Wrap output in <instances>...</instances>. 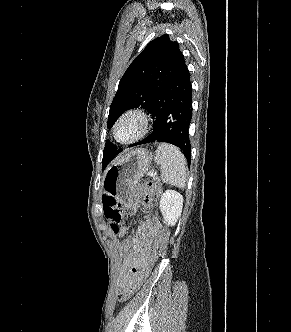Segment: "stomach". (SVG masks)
I'll list each match as a JSON object with an SVG mask.
<instances>
[{
  "instance_id": "stomach-1",
  "label": "stomach",
  "mask_w": 291,
  "mask_h": 332,
  "mask_svg": "<svg viewBox=\"0 0 291 332\" xmlns=\"http://www.w3.org/2000/svg\"><path fill=\"white\" fill-rule=\"evenodd\" d=\"M151 159L145 149L123 155L105 172L104 189L120 203L134 206L137 202V183L150 169Z\"/></svg>"
}]
</instances>
